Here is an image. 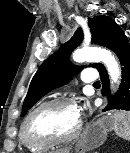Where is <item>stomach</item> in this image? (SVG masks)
<instances>
[{
	"label": "stomach",
	"mask_w": 130,
	"mask_h": 153,
	"mask_svg": "<svg viewBox=\"0 0 130 153\" xmlns=\"http://www.w3.org/2000/svg\"><path fill=\"white\" fill-rule=\"evenodd\" d=\"M114 115L107 114L93 121L85 130L80 148L84 151L92 150L104 143L107 133L114 129Z\"/></svg>",
	"instance_id": "obj_1"
}]
</instances>
